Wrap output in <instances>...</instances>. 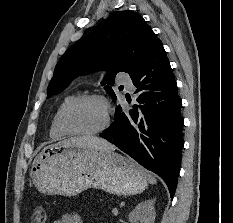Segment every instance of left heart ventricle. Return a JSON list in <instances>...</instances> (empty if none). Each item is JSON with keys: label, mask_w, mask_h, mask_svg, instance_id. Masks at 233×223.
<instances>
[{"label": "left heart ventricle", "mask_w": 233, "mask_h": 223, "mask_svg": "<svg viewBox=\"0 0 233 223\" xmlns=\"http://www.w3.org/2000/svg\"><path fill=\"white\" fill-rule=\"evenodd\" d=\"M106 121L104 104L99 100H90L77 104L69 113L68 122L78 132H94Z\"/></svg>", "instance_id": "left-heart-ventricle-1"}]
</instances>
